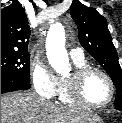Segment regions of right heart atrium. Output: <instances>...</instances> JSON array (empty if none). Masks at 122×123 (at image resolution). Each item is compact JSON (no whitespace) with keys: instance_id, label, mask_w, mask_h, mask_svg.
<instances>
[{"instance_id":"right-heart-atrium-1","label":"right heart atrium","mask_w":122,"mask_h":123,"mask_svg":"<svg viewBox=\"0 0 122 123\" xmlns=\"http://www.w3.org/2000/svg\"><path fill=\"white\" fill-rule=\"evenodd\" d=\"M30 79L34 90L41 97L50 99L57 95L59 78L44 60L36 58L31 62Z\"/></svg>"}]
</instances>
